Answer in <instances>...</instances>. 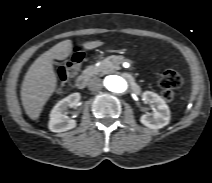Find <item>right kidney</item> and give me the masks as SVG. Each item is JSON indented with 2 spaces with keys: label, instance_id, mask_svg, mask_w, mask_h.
Returning <instances> with one entry per match:
<instances>
[{
  "label": "right kidney",
  "instance_id": "right-kidney-1",
  "mask_svg": "<svg viewBox=\"0 0 212 183\" xmlns=\"http://www.w3.org/2000/svg\"><path fill=\"white\" fill-rule=\"evenodd\" d=\"M79 93H72L60 100L52 109L49 120V130L52 132H64L76 127V121L66 116L68 107H77L80 101Z\"/></svg>",
  "mask_w": 212,
  "mask_h": 183
}]
</instances>
